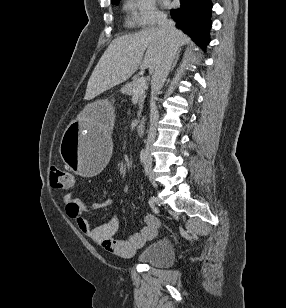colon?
Returning <instances> with one entry per match:
<instances>
[{"instance_id":"1","label":"colon","mask_w":286,"mask_h":308,"mask_svg":"<svg viewBox=\"0 0 286 308\" xmlns=\"http://www.w3.org/2000/svg\"><path fill=\"white\" fill-rule=\"evenodd\" d=\"M50 181L53 188L57 190H72L75 187V176L72 172L54 168L50 172Z\"/></svg>"}]
</instances>
